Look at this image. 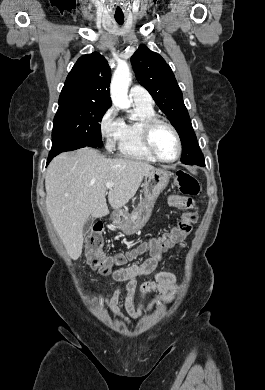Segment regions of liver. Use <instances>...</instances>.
Returning a JSON list of instances; mask_svg holds the SVG:
<instances>
[{
    "instance_id": "1",
    "label": "liver",
    "mask_w": 265,
    "mask_h": 390,
    "mask_svg": "<svg viewBox=\"0 0 265 390\" xmlns=\"http://www.w3.org/2000/svg\"><path fill=\"white\" fill-rule=\"evenodd\" d=\"M155 168L147 162L105 158L85 147L62 153L49 164L45 176L46 208L69 256L76 260L83 247V226L89 216L119 209L136 194L144 176ZM112 182L111 189L106 183Z\"/></svg>"
}]
</instances>
